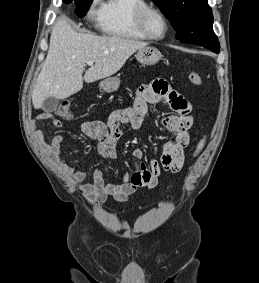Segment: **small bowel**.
<instances>
[{
	"mask_svg": "<svg viewBox=\"0 0 259 283\" xmlns=\"http://www.w3.org/2000/svg\"><path fill=\"white\" fill-rule=\"evenodd\" d=\"M160 102H165L176 112L162 121L173 138L164 145L160 160H152L148 166L142 161L143 151L140 148L134 149L132 154L136 160V170L131 175H126L121 184L106 182L100 172L96 173L93 183H84L88 174L66 163L61 151L63 136L60 134L54 135L51 141L45 144V148L88 201L99 204L108 197L121 202L128 201L140 188H155L163 171L176 174L183 167L184 150L190 142L189 129L193 124L190 103L172 90L166 81L155 80L137 89L136 99L131 108L112 112L106 121L81 123L83 134L97 142L95 149L101 158L115 161L116 146L122 135L121 126L130 124L132 128L138 129L148 112V105ZM45 121H50L56 127L61 126V121L53 113L38 114L32 120L31 127L35 139L41 144H44L41 127Z\"/></svg>",
	"mask_w": 259,
	"mask_h": 283,
	"instance_id": "obj_1",
	"label": "small bowel"
}]
</instances>
